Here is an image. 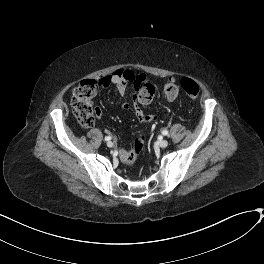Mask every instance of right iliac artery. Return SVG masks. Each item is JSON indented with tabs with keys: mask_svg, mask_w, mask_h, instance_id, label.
Returning <instances> with one entry per match:
<instances>
[{
	"mask_svg": "<svg viewBox=\"0 0 264 264\" xmlns=\"http://www.w3.org/2000/svg\"><path fill=\"white\" fill-rule=\"evenodd\" d=\"M109 140H111V137L106 136V137H105V141H109Z\"/></svg>",
	"mask_w": 264,
	"mask_h": 264,
	"instance_id": "obj_1",
	"label": "right iliac artery"
}]
</instances>
